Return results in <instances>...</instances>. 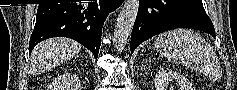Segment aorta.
<instances>
[{
  "label": "aorta",
  "instance_id": "1",
  "mask_svg": "<svg viewBox=\"0 0 237 90\" xmlns=\"http://www.w3.org/2000/svg\"><path fill=\"white\" fill-rule=\"evenodd\" d=\"M139 12V0H126L116 20L113 42L116 52H123Z\"/></svg>",
  "mask_w": 237,
  "mask_h": 90
}]
</instances>
